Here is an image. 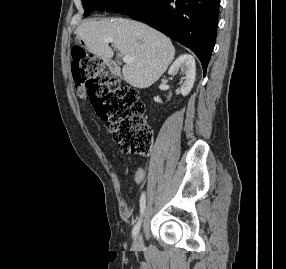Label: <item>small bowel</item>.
I'll list each match as a JSON object with an SVG mask.
<instances>
[{
    "label": "small bowel",
    "instance_id": "small-bowel-1",
    "mask_svg": "<svg viewBox=\"0 0 286 269\" xmlns=\"http://www.w3.org/2000/svg\"><path fill=\"white\" fill-rule=\"evenodd\" d=\"M80 94L83 95V92L80 91ZM124 173L126 174V171H125ZM145 177H146V172H145L144 168L141 167V166L138 167V168L136 169V171H135L134 183H135L136 185H141V184L144 182Z\"/></svg>",
    "mask_w": 286,
    "mask_h": 269
}]
</instances>
